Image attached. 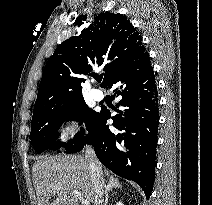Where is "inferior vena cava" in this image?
<instances>
[{
  "mask_svg": "<svg viewBox=\"0 0 212 205\" xmlns=\"http://www.w3.org/2000/svg\"><path fill=\"white\" fill-rule=\"evenodd\" d=\"M85 157L88 160L91 170V180L95 190L96 205H100L103 202L104 193V178L102 167L91 146L87 145L85 147Z\"/></svg>",
  "mask_w": 212,
  "mask_h": 205,
  "instance_id": "1",
  "label": "inferior vena cava"
}]
</instances>
